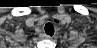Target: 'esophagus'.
<instances>
[{"mask_svg":"<svg viewBox=\"0 0 97 48\" xmlns=\"http://www.w3.org/2000/svg\"><path fill=\"white\" fill-rule=\"evenodd\" d=\"M43 38H44V39H49V40H52V39H53V37L50 36V35H43Z\"/></svg>","mask_w":97,"mask_h":48,"instance_id":"34e87169","label":"esophagus"}]
</instances>
